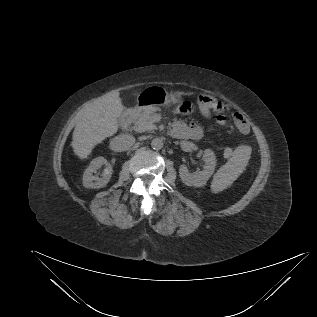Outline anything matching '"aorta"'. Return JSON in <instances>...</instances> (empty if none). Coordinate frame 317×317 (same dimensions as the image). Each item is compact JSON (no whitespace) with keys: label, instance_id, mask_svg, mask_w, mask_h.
<instances>
[{"label":"aorta","instance_id":"1","mask_svg":"<svg viewBox=\"0 0 317 317\" xmlns=\"http://www.w3.org/2000/svg\"><path fill=\"white\" fill-rule=\"evenodd\" d=\"M163 140L161 138H154L152 141H151V147L154 149V150H160L163 148Z\"/></svg>","mask_w":317,"mask_h":317}]
</instances>
